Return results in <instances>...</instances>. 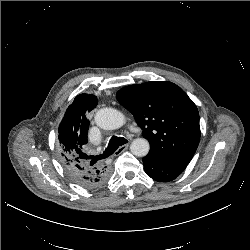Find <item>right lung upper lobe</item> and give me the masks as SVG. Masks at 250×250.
I'll return each instance as SVG.
<instances>
[{
    "mask_svg": "<svg viewBox=\"0 0 250 250\" xmlns=\"http://www.w3.org/2000/svg\"><path fill=\"white\" fill-rule=\"evenodd\" d=\"M98 99L92 94H80L67 108L59 125V148L61 160L66 169L73 171L91 170L96 174L110 171L99 156H88L84 149L88 142L89 120L87 114L97 105Z\"/></svg>",
    "mask_w": 250,
    "mask_h": 250,
    "instance_id": "1",
    "label": "right lung upper lobe"
}]
</instances>
